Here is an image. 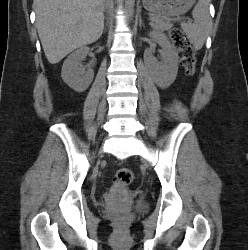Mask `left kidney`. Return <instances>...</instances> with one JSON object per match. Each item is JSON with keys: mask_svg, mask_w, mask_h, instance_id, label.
<instances>
[{"mask_svg": "<svg viewBox=\"0 0 248 250\" xmlns=\"http://www.w3.org/2000/svg\"><path fill=\"white\" fill-rule=\"evenodd\" d=\"M148 36L158 42L162 47L163 63L154 68L153 77L155 83L162 88L170 86L175 80L178 71V55L175 52L167 36L158 30L150 31Z\"/></svg>", "mask_w": 248, "mask_h": 250, "instance_id": "obj_1", "label": "left kidney"}]
</instances>
